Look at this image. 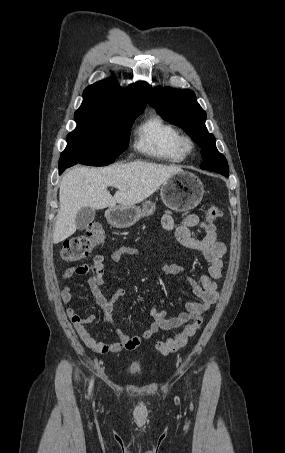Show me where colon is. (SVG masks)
Here are the masks:
<instances>
[{
    "mask_svg": "<svg viewBox=\"0 0 285 453\" xmlns=\"http://www.w3.org/2000/svg\"><path fill=\"white\" fill-rule=\"evenodd\" d=\"M222 211L216 206H210L206 212L208 222L217 220ZM106 233L100 222H92L86 229L85 234L66 240L60 251V258L66 263L81 261L90 256L93 249L104 242ZM202 324L201 318L194 319L184 330L174 338L160 341L156 344V350L161 355L175 353L187 346L189 340L196 335Z\"/></svg>",
    "mask_w": 285,
    "mask_h": 453,
    "instance_id": "obj_1",
    "label": "colon"
}]
</instances>
